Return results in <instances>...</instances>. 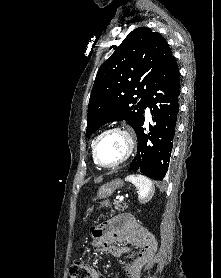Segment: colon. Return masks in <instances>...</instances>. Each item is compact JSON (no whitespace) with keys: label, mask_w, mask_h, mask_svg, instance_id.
Wrapping results in <instances>:
<instances>
[{"label":"colon","mask_w":221,"mask_h":278,"mask_svg":"<svg viewBox=\"0 0 221 278\" xmlns=\"http://www.w3.org/2000/svg\"><path fill=\"white\" fill-rule=\"evenodd\" d=\"M107 206V201L101 203L102 208ZM69 276L70 278H90L91 267L85 259H77L70 266Z\"/></svg>","instance_id":"obj_1"}]
</instances>
